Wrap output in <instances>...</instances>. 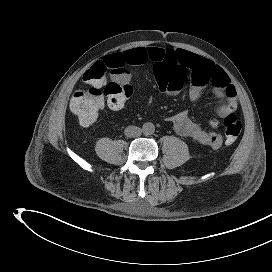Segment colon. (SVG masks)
<instances>
[{"instance_id":"colon-1","label":"colon","mask_w":272,"mask_h":272,"mask_svg":"<svg viewBox=\"0 0 272 272\" xmlns=\"http://www.w3.org/2000/svg\"><path fill=\"white\" fill-rule=\"evenodd\" d=\"M125 74L126 69L122 66L109 68L99 62L84 73L83 79L88 86L77 90L70 101L72 113L82 124H93L105 102L112 109H120L125 105L133 92L132 86L123 77ZM223 128L226 143L233 144L241 133L242 121L231 114L225 117Z\"/></svg>"}]
</instances>
